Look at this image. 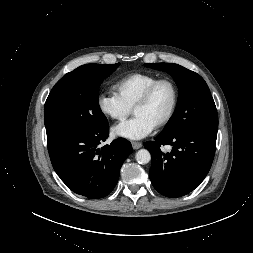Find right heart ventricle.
Masks as SVG:
<instances>
[{
	"label": "right heart ventricle",
	"instance_id": "e07e8e85",
	"mask_svg": "<svg viewBox=\"0 0 253 253\" xmlns=\"http://www.w3.org/2000/svg\"><path fill=\"white\" fill-rule=\"evenodd\" d=\"M157 79L158 76L149 73H133L119 79L114 88L120 98L133 107L143 92Z\"/></svg>",
	"mask_w": 253,
	"mask_h": 253
}]
</instances>
